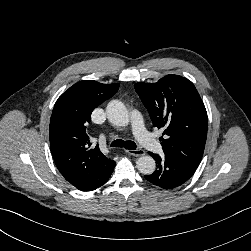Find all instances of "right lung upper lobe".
<instances>
[{"mask_svg": "<svg viewBox=\"0 0 251 251\" xmlns=\"http://www.w3.org/2000/svg\"><path fill=\"white\" fill-rule=\"evenodd\" d=\"M118 88L117 83L83 80L71 86L55 103L50 120L51 152L60 173L75 187L111 161L98 146H91L86 128L92 111Z\"/></svg>", "mask_w": 251, "mask_h": 251, "instance_id": "1", "label": "right lung upper lobe"}]
</instances>
